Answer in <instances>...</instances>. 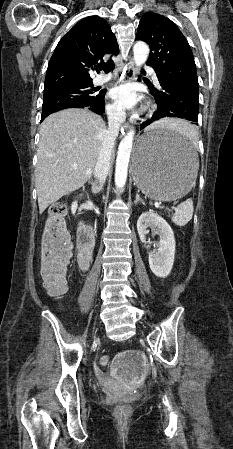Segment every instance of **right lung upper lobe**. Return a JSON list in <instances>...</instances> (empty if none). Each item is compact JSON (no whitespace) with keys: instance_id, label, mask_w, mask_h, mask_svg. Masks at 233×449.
Instances as JSON below:
<instances>
[{"instance_id":"right-lung-upper-lobe-1","label":"right lung upper lobe","mask_w":233,"mask_h":449,"mask_svg":"<svg viewBox=\"0 0 233 449\" xmlns=\"http://www.w3.org/2000/svg\"><path fill=\"white\" fill-rule=\"evenodd\" d=\"M119 47L108 23L90 16L79 21L58 43L50 59L44 91L66 85L90 84L89 69Z\"/></svg>"}]
</instances>
